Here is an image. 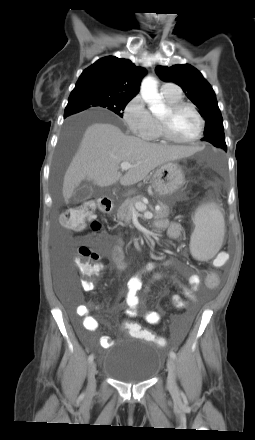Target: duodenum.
I'll return each instance as SVG.
<instances>
[{
  "instance_id": "duodenum-1",
  "label": "duodenum",
  "mask_w": 255,
  "mask_h": 440,
  "mask_svg": "<svg viewBox=\"0 0 255 440\" xmlns=\"http://www.w3.org/2000/svg\"><path fill=\"white\" fill-rule=\"evenodd\" d=\"M114 203L109 199H101L99 201V208L103 213H110L113 210Z\"/></svg>"
}]
</instances>
